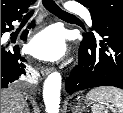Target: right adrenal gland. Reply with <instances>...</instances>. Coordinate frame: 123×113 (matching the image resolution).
<instances>
[{"label":"right adrenal gland","instance_id":"right-adrenal-gland-1","mask_svg":"<svg viewBox=\"0 0 123 113\" xmlns=\"http://www.w3.org/2000/svg\"><path fill=\"white\" fill-rule=\"evenodd\" d=\"M23 113H30L28 104H26V107H25Z\"/></svg>","mask_w":123,"mask_h":113}]
</instances>
